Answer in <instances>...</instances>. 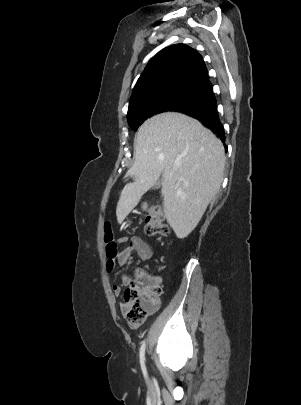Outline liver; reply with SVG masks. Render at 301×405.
Segmentation results:
<instances>
[{
	"label": "liver",
	"instance_id": "obj_1",
	"mask_svg": "<svg viewBox=\"0 0 301 405\" xmlns=\"http://www.w3.org/2000/svg\"><path fill=\"white\" fill-rule=\"evenodd\" d=\"M225 152L222 142L198 120L176 112L147 119L135 140V161L127 172L116 208L122 223L141 197L161 178L163 208L178 238L199 223L221 187Z\"/></svg>",
	"mask_w": 301,
	"mask_h": 405
}]
</instances>
